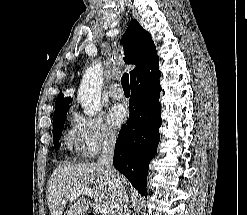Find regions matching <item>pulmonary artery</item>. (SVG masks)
Masks as SVG:
<instances>
[{
  "instance_id": "pulmonary-artery-1",
  "label": "pulmonary artery",
  "mask_w": 247,
  "mask_h": 215,
  "mask_svg": "<svg viewBox=\"0 0 247 215\" xmlns=\"http://www.w3.org/2000/svg\"><path fill=\"white\" fill-rule=\"evenodd\" d=\"M108 93L112 98H115V99H120L124 95L123 90L118 84H112L109 87Z\"/></svg>"
}]
</instances>
